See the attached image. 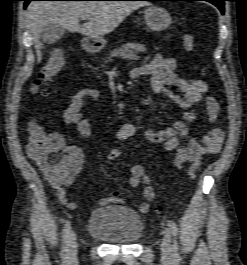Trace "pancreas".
I'll use <instances>...</instances> for the list:
<instances>
[{"label": "pancreas", "mask_w": 247, "mask_h": 265, "mask_svg": "<svg viewBox=\"0 0 247 265\" xmlns=\"http://www.w3.org/2000/svg\"><path fill=\"white\" fill-rule=\"evenodd\" d=\"M145 48L143 46H138L134 43H125L121 47L114 49L105 59V65L108 62H111L114 57H119L122 59L128 60H138L140 57L138 56L139 53L145 52Z\"/></svg>", "instance_id": "obj_1"}]
</instances>
